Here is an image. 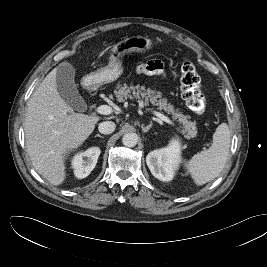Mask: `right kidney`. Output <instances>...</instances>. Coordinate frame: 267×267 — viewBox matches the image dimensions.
<instances>
[{
	"mask_svg": "<svg viewBox=\"0 0 267 267\" xmlns=\"http://www.w3.org/2000/svg\"><path fill=\"white\" fill-rule=\"evenodd\" d=\"M100 152L99 147H91L73 158L72 167L77 178H85L91 173L97 164Z\"/></svg>",
	"mask_w": 267,
	"mask_h": 267,
	"instance_id": "ca27d5eb",
	"label": "right kidney"
}]
</instances>
